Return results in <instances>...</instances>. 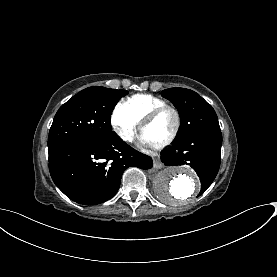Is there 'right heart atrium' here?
I'll return each instance as SVG.
<instances>
[{"label":"right heart atrium","instance_id":"d8ad5b80","mask_svg":"<svg viewBox=\"0 0 277 277\" xmlns=\"http://www.w3.org/2000/svg\"><path fill=\"white\" fill-rule=\"evenodd\" d=\"M112 126L117 135L126 142L133 140L139 122L130 114L118 107L112 116Z\"/></svg>","mask_w":277,"mask_h":277}]
</instances>
